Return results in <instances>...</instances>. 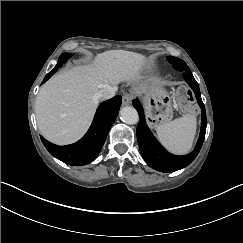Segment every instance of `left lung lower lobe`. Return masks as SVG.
I'll use <instances>...</instances> for the list:
<instances>
[{
	"mask_svg": "<svg viewBox=\"0 0 243 243\" xmlns=\"http://www.w3.org/2000/svg\"><path fill=\"white\" fill-rule=\"evenodd\" d=\"M179 71L184 72V78L195 93L198 104L202 110L200 136L195 149L191 153L184 156H176L165 150L147 127L140 102L137 99L133 100V106L137 109L140 116V122L137 126V140L141 155L150 167L161 172H174L188 166L198 155L206 133V111L201 99L199 85L194 79L190 69Z\"/></svg>",
	"mask_w": 243,
	"mask_h": 243,
	"instance_id": "1",
	"label": "left lung lower lobe"
}]
</instances>
